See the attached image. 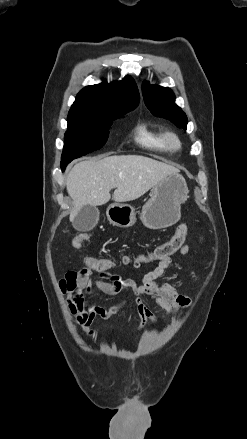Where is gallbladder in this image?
Segmentation results:
<instances>
[{
	"instance_id": "bac80fb5",
	"label": "gallbladder",
	"mask_w": 247,
	"mask_h": 439,
	"mask_svg": "<svg viewBox=\"0 0 247 439\" xmlns=\"http://www.w3.org/2000/svg\"><path fill=\"white\" fill-rule=\"evenodd\" d=\"M99 220V210L95 206L84 205L73 220V227L78 231L92 230Z\"/></svg>"
}]
</instances>
